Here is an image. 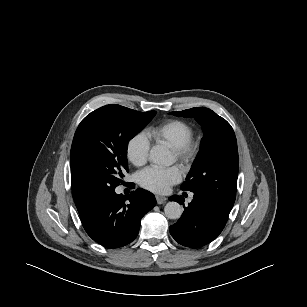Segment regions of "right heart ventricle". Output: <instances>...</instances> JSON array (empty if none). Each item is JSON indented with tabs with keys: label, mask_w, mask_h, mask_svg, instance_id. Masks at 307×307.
<instances>
[{
	"label": "right heart ventricle",
	"mask_w": 307,
	"mask_h": 307,
	"mask_svg": "<svg viewBox=\"0 0 307 307\" xmlns=\"http://www.w3.org/2000/svg\"><path fill=\"white\" fill-rule=\"evenodd\" d=\"M146 134L156 144L173 149L192 139L193 128L185 121L172 119L149 129Z\"/></svg>",
	"instance_id": "e07e8e85"
}]
</instances>
